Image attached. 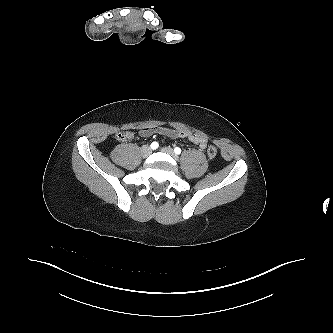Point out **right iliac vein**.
Here are the masks:
<instances>
[{"mask_svg":"<svg viewBox=\"0 0 333 333\" xmlns=\"http://www.w3.org/2000/svg\"><path fill=\"white\" fill-rule=\"evenodd\" d=\"M152 153L151 148L148 145L142 147V156L148 157Z\"/></svg>","mask_w":333,"mask_h":333,"instance_id":"1","label":"right iliac vein"}]
</instances>
